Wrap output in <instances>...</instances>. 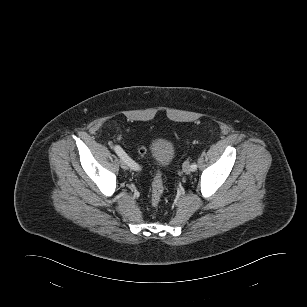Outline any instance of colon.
<instances>
[{"label": "colon", "mask_w": 307, "mask_h": 307, "mask_svg": "<svg viewBox=\"0 0 307 307\" xmlns=\"http://www.w3.org/2000/svg\"><path fill=\"white\" fill-rule=\"evenodd\" d=\"M144 154V151H141ZM164 192L163 179L160 172H156L152 180V190H151V204L157 207L162 199Z\"/></svg>", "instance_id": "1"}]
</instances>
